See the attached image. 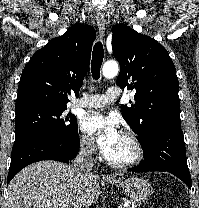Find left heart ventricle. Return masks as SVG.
Instances as JSON below:
<instances>
[{
  "label": "left heart ventricle",
  "mask_w": 199,
  "mask_h": 208,
  "mask_svg": "<svg viewBox=\"0 0 199 208\" xmlns=\"http://www.w3.org/2000/svg\"><path fill=\"white\" fill-rule=\"evenodd\" d=\"M135 155L134 146L127 140L125 136H121L113 148L106 154L111 159L125 161L132 159Z\"/></svg>",
  "instance_id": "1"
}]
</instances>
